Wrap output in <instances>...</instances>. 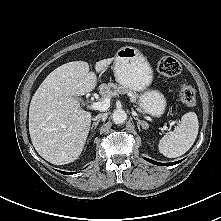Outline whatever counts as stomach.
<instances>
[{
	"mask_svg": "<svg viewBox=\"0 0 221 221\" xmlns=\"http://www.w3.org/2000/svg\"><path fill=\"white\" fill-rule=\"evenodd\" d=\"M114 75L121 86L142 92L138 103L143 112L153 117H160L164 113L166 98L160 91L148 89L153 80V71L137 48L125 46L116 52Z\"/></svg>",
	"mask_w": 221,
	"mask_h": 221,
	"instance_id": "0dacf381",
	"label": "stomach"
}]
</instances>
